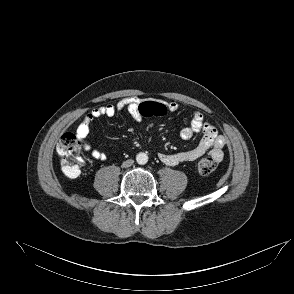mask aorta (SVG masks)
Wrapping results in <instances>:
<instances>
[{
  "instance_id": "aorta-1",
  "label": "aorta",
  "mask_w": 294,
  "mask_h": 294,
  "mask_svg": "<svg viewBox=\"0 0 294 294\" xmlns=\"http://www.w3.org/2000/svg\"><path fill=\"white\" fill-rule=\"evenodd\" d=\"M136 161L140 165H144L148 162V155L144 152H140L136 155Z\"/></svg>"
}]
</instances>
